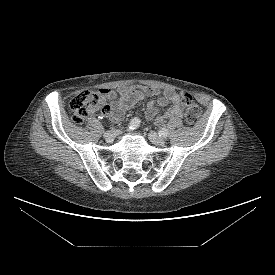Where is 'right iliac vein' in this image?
Wrapping results in <instances>:
<instances>
[{"label": "right iliac vein", "mask_w": 275, "mask_h": 275, "mask_svg": "<svg viewBox=\"0 0 275 275\" xmlns=\"http://www.w3.org/2000/svg\"><path fill=\"white\" fill-rule=\"evenodd\" d=\"M117 134H118V131L112 129L104 133V138L107 142H111L114 140Z\"/></svg>", "instance_id": "obj_1"}]
</instances>
